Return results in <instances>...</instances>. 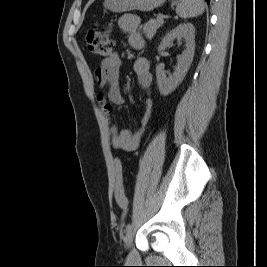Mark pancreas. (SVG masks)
Returning <instances> with one entry per match:
<instances>
[{"label": "pancreas", "mask_w": 267, "mask_h": 267, "mask_svg": "<svg viewBox=\"0 0 267 267\" xmlns=\"http://www.w3.org/2000/svg\"><path fill=\"white\" fill-rule=\"evenodd\" d=\"M163 19H151L144 26L143 31L147 39H152L157 30L163 25Z\"/></svg>", "instance_id": "cf45deb5"}]
</instances>
